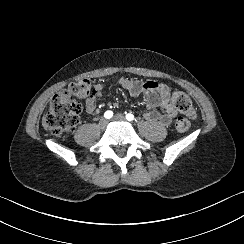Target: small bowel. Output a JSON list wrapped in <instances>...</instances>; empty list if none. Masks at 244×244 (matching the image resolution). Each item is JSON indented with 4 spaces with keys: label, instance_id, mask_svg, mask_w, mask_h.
<instances>
[{
    "label": "small bowel",
    "instance_id": "c3829d8e",
    "mask_svg": "<svg viewBox=\"0 0 244 244\" xmlns=\"http://www.w3.org/2000/svg\"><path fill=\"white\" fill-rule=\"evenodd\" d=\"M118 84L131 96H144L147 111L144 118L151 123L168 126L176 116V110L170 100L169 87L153 80L142 81L120 76ZM105 84L98 82L94 85L92 92L85 100V110L88 114H94L97 101L103 96Z\"/></svg>",
    "mask_w": 244,
    "mask_h": 244
}]
</instances>
